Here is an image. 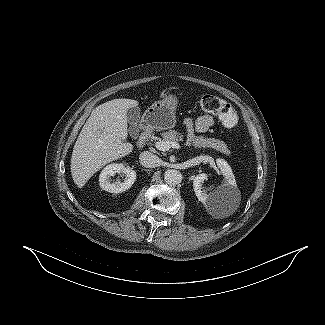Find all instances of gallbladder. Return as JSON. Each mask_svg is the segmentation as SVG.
I'll return each instance as SVG.
<instances>
[{"label":"gallbladder","mask_w":325,"mask_h":325,"mask_svg":"<svg viewBox=\"0 0 325 325\" xmlns=\"http://www.w3.org/2000/svg\"><path fill=\"white\" fill-rule=\"evenodd\" d=\"M127 119L131 124L130 133L133 137L138 136L139 130V120H140V109L138 107H131L127 111Z\"/></svg>","instance_id":"1"}]
</instances>
